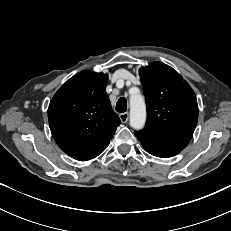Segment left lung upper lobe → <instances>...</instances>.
I'll return each instance as SVG.
<instances>
[{
	"mask_svg": "<svg viewBox=\"0 0 231 231\" xmlns=\"http://www.w3.org/2000/svg\"><path fill=\"white\" fill-rule=\"evenodd\" d=\"M140 78L147 122L135 134L179 153L192 138L198 121L194 91L178 72L162 62L142 68Z\"/></svg>",
	"mask_w": 231,
	"mask_h": 231,
	"instance_id": "5c2ea615",
	"label": "left lung upper lobe"
}]
</instances>
